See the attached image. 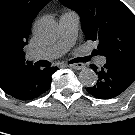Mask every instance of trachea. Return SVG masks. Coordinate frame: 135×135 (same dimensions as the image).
I'll return each instance as SVG.
<instances>
[{
  "label": "trachea",
  "instance_id": "obj_1",
  "mask_svg": "<svg viewBox=\"0 0 135 135\" xmlns=\"http://www.w3.org/2000/svg\"><path fill=\"white\" fill-rule=\"evenodd\" d=\"M93 55H94V54H93ZM93 55H91V56H87V57L75 58V59H73V60H70V62H69V63H81V62H88V61L91 59V57H92Z\"/></svg>",
  "mask_w": 135,
  "mask_h": 135
}]
</instances>
